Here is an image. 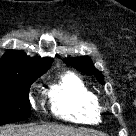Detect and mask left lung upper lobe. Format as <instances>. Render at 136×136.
I'll return each instance as SVG.
<instances>
[{"mask_svg":"<svg viewBox=\"0 0 136 136\" xmlns=\"http://www.w3.org/2000/svg\"><path fill=\"white\" fill-rule=\"evenodd\" d=\"M67 64L75 67L77 70L89 74L97 75L98 81L103 84L104 78L101 75V72L94 68L90 58L88 57H77V58H67L64 60Z\"/></svg>","mask_w":136,"mask_h":136,"instance_id":"obj_1","label":"left lung upper lobe"}]
</instances>
